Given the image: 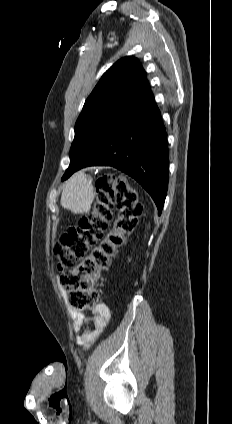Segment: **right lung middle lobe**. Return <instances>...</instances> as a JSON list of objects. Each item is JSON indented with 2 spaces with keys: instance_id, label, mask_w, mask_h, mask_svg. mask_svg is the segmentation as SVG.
Wrapping results in <instances>:
<instances>
[{
  "instance_id": "1",
  "label": "right lung middle lobe",
  "mask_w": 232,
  "mask_h": 424,
  "mask_svg": "<svg viewBox=\"0 0 232 424\" xmlns=\"http://www.w3.org/2000/svg\"><path fill=\"white\" fill-rule=\"evenodd\" d=\"M131 106L104 105L82 111L75 124L70 165L62 180L79 170L87 157L116 128L130 121Z\"/></svg>"
}]
</instances>
